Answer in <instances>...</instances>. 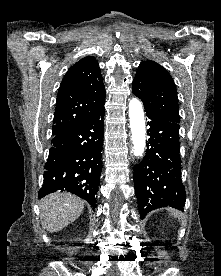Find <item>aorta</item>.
I'll list each match as a JSON object with an SVG mask.
<instances>
[{
    "label": "aorta",
    "instance_id": "aorta-1",
    "mask_svg": "<svg viewBox=\"0 0 221 276\" xmlns=\"http://www.w3.org/2000/svg\"><path fill=\"white\" fill-rule=\"evenodd\" d=\"M129 120L133 152L136 157H141L145 149L146 131L143 107L137 98H133L129 102Z\"/></svg>",
    "mask_w": 221,
    "mask_h": 276
}]
</instances>
